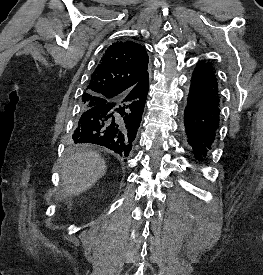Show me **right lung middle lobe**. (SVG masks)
Returning a JSON list of instances; mask_svg holds the SVG:
<instances>
[{
	"label": "right lung middle lobe",
	"instance_id": "obj_1",
	"mask_svg": "<svg viewBox=\"0 0 263 275\" xmlns=\"http://www.w3.org/2000/svg\"><path fill=\"white\" fill-rule=\"evenodd\" d=\"M103 102H104V100L102 98H99L97 96H93L90 94H86V95H83V97H82V109L86 110L88 108L99 105ZM73 147L76 149L80 148V146H78V145H73Z\"/></svg>",
	"mask_w": 263,
	"mask_h": 275
}]
</instances>
